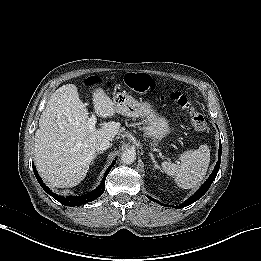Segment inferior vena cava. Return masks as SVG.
<instances>
[{"label":"inferior vena cava","mask_w":261,"mask_h":261,"mask_svg":"<svg viewBox=\"0 0 261 261\" xmlns=\"http://www.w3.org/2000/svg\"><path fill=\"white\" fill-rule=\"evenodd\" d=\"M111 143L107 138H100L95 144V149L97 151H105L110 147Z\"/></svg>","instance_id":"1"}]
</instances>
